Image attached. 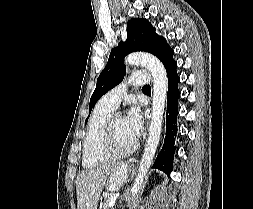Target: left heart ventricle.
<instances>
[{"label":"left heart ventricle","instance_id":"b2bd125f","mask_svg":"<svg viewBox=\"0 0 253 209\" xmlns=\"http://www.w3.org/2000/svg\"><path fill=\"white\" fill-rule=\"evenodd\" d=\"M113 132H114L115 147L118 150H126L135 143V141L131 138L126 128L124 117L120 116L116 119L114 123Z\"/></svg>","mask_w":253,"mask_h":209}]
</instances>
